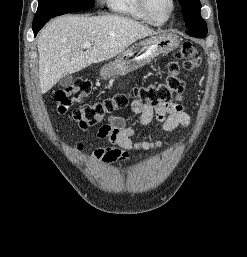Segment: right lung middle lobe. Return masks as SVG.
<instances>
[{"label":"right lung middle lobe","mask_w":247,"mask_h":257,"mask_svg":"<svg viewBox=\"0 0 247 257\" xmlns=\"http://www.w3.org/2000/svg\"><path fill=\"white\" fill-rule=\"evenodd\" d=\"M93 7L94 0H39L33 23H38L77 10L91 9Z\"/></svg>","instance_id":"1"}]
</instances>
